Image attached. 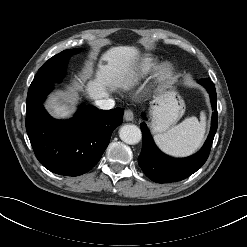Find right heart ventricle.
I'll return each instance as SVG.
<instances>
[{
  "label": "right heart ventricle",
  "instance_id": "e07e8e85",
  "mask_svg": "<svg viewBox=\"0 0 247 247\" xmlns=\"http://www.w3.org/2000/svg\"><path fill=\"white\" fill-rule=\"evenodd\" d=\"M156 60L151 56H144L138 60L134 66L132 73L129 75V81H135L138 78L149 73L155 66Z\"/></svg>",
  "mask_w": 247,
  "mask_h": 247
}]
</instances>
